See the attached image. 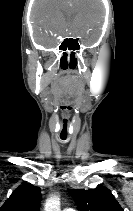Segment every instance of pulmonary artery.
<instances>
[{"label": "pulmonary artery", "instance_id": "pulmonary-artery-1", "mask_svg": "<svg viewBox=\"0 0 133 211\" xmlns=\"http://www.w3.org/2000/svg\"><path fill=\"white\" fill-rule=\"evenodd\" d=\"M64 211H76V210H74V209H72V208H67V209L64 210Z\"/></svg>", "mask_w": 133, "mask_h": 211}]
</instances>
